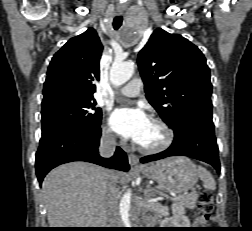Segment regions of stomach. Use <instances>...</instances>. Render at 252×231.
I'll return each instance as SVG.
<instances>
[{"label":"stomach","instance_id":"obj_1","mask_svg":"<svg viewBox=\"0 0 252 231\" xmlns=\"http://www.w3.org/2000/svg\"><path fill=\"white\" fill-rule=\"evenodd\" d=\"M142 174L155 180L159 188L177 194L185 193L197 183V169L193 162L183 156L166 158L140 168Z\"/></svg>","mask_w":252,"mask_h":231}]
</instances>
